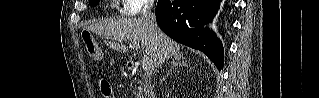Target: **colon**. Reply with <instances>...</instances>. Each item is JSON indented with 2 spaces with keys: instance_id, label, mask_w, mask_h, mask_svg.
Segmentation results:
<instances>
[{
  "instance_id": "5ec220e1",
  "label": "colon",
  "mask_w": 319,
  "mask_h": 98,
  "mask_svg": "<svg viewBox=\"0 0 319 98\" xmlns=\"http://www.w3.org/2000/svg\"><path fill=\"white\" fill-rule=\"evenodd\" d=\"M82 39L87 55L93 60H100L102 58V52L94 41L91 33L89 31H83ZM100 86L104 96L111 97V88L109 84L106 81H101Z\"/></svg>"
}]
</instances>
